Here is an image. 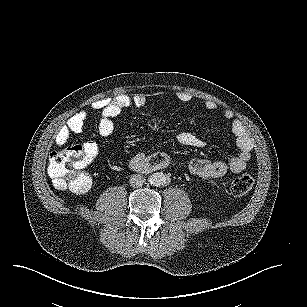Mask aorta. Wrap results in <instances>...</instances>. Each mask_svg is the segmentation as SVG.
Listing matches in <instances>:
<instances>
[{"label": "aorta", "mask_w": 307, "mask_h": 307, "mask_svg": "<svg viewBox=\"0 0 307 307\" xmlns=\"http://www.w3.org/2000/svg\"><path fill=\"white\" fill-rule=\"evenodd\" d=\"M166 181V177L163 173L157 172L151 176V184L154 186H161Z\"/></svg>", "instance_id": "aorta-1"}]
</instances>
